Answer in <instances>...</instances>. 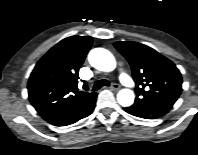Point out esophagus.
<instances>
[{
  "instance_id": "34e87169",
  "label": "esophagus",
  "mask_w": 198,
  "mask_h": 155,
  "mask_svg": "<svg viewBox=\"0 0 198 155\" xmlns=\"http://www.w3.org/2000/svg\"><path fill=\"white\" fill-rule=\"evenodd\" d=\"M110 88L113 91H118L120 89V86L118 84L114 83V84H112V86Z\"/></svg>"
}]
</instances>
